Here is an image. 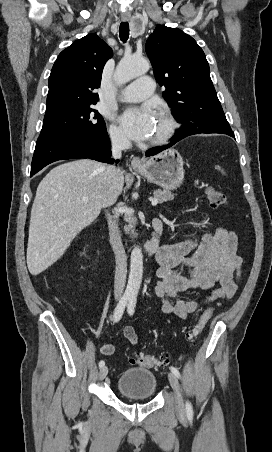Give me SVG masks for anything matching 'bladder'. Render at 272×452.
<instances>
[{"mask_svg":"<svg viewBox=\"0 0 272 452\" xmlns=\"http://www.w3.org/2000/svg\"><path fill=\"white\" fill-rule=\"evenodd\" d=\"M158 387L157 377L147 368H130L124 371L116 383L117 391L130 398H152Z\"/></svg>","mask_w":272,"mask_h":452,"instance_id":"31cf9c89","label":"bladder"}]
</instances>
